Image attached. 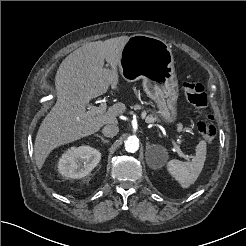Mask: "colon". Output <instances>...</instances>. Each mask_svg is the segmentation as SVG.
Returning <instances> with one entry per match:
<instances>
[{
  "label": "colon",
  "instance_id": "colon-1",
  "mask_svg": "<svg viewBox=\"0 0 246 246\" xmlns=\"http://www.w3.org/2000/svg\"><path fill=\"white\" fill-rule=\"evenodd\" d=\"M183 89L189 102L197 109L204 110L207 107L208 96L202 83L186 81L183 84ZM196 128L199 135L205 140H211L215 135L213 117L210 114H201L196 123Z\"/></svg>",
  "mask_w": 246,
  "mask_h": 246
}]
</instances>
